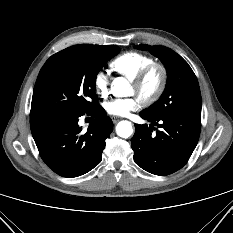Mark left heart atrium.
I'll return each mask as SVG.
<instances>
[{
    "label": "left heart atrium",
    "instance_id": "1",
    "mask_svg": "<svg viewBox=\"0 0 233 233\" xmlns=\"http://www.w3.org/2000/svg\"><path fill=\"white\" fill-rule=\"evenodd\" d=\"M141 100L137 96L111 99L104 103L105 111L113 116H126L129 112L139 109Z\"/></svg>",
    "mask_w": 233,
    "mask_h": 233
}]
</instances>
